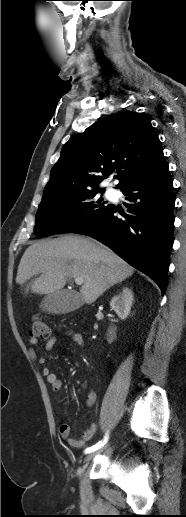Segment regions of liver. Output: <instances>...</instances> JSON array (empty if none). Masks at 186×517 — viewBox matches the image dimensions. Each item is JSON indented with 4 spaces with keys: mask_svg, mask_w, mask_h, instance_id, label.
I'll list each match as a JSON object with an SVG mask.
<instances>
[{
    "mask_svg": "<svg viewBox=\"0 0 186 517\" xmlns=\"http://www.w3.org/2000/svg\"><path fill=\"white\" fill-rule=\"evenodd\" d=\"M39 273L31 285L34 293L52 294L62 290L68 278L82 277L81 298L91 304L109 287L130 277L134 268L90 238L66 235L29 246L18 266L16 282L23 284Z\"/></svg>",
    "mask_w": 186,
    "mask_h": 517,
    "instance_id": "6515ba94",
    "label": "liver"
}]
</instances>
